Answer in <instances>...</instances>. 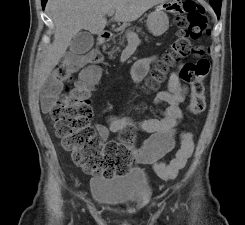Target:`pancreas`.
Returning a JSON list of instances; mask_svg holds the SVG:
<instances>
[{
    "label": "pancreas",
    "mask_w": 245,
    "mask_h": 225,
    "mask_svg": "<svg viewBox=\"0 0 245 225\" xmlns=\"http://www.w3.org/2000/svg\"><path fill=\"white\" fill-rule=\"evenodd\" d=\"M129 32V31H128ZM127 32V33H128ZM125 37H127V34L125 36H123L121 39H119V46L118 47H114L108 54L110 55V57H112V55L121 50V46L124 47V42H125Z\"/></svg>",
    "instance_id": "obj_1"
}]
</instances>
